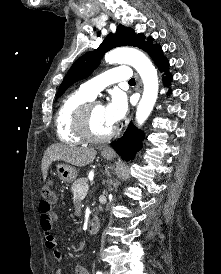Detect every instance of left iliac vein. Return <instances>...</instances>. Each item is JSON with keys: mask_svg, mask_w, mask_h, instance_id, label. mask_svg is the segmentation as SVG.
Here are the masks:
<instances>
[{"mask_svg": "<svg viewBox=\"0 0 221 274\" xmlns=\"http://www.w3.org/2000/svg\"><path fill=\"white\" fill-rule=\"evenodd\" d=\"M103 274H109L107 271H105Z\"/></svg>", "mask_w": 221, "mask_h": 274, "instance_id": "4c4485c4", "label": "left iliac vein"}]
</instances>
